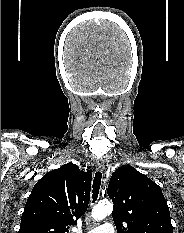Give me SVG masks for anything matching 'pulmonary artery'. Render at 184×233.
<instances>
[{
    "instance_id": "pulmonary-artery-1",
    "label": "pulmonary artery",
    "mask_w": 184,
    "mask_h": 233,
    "mask_svg": "<svg viewBox=\"0 0 184 233\" xmlns=\"http://www.w3.org/2000/svg\"><path fill=\"white\" fill-rule=\"evenodd\" d=\"M115 232L116 231L113 224L110 222H105L100 226L88 231L87 233H115Z\"/></svg>"
}]
</instances>
